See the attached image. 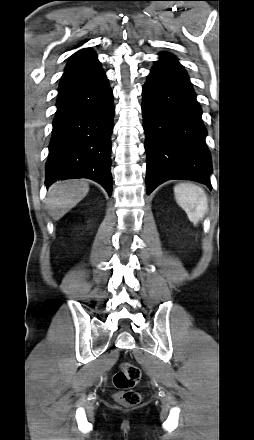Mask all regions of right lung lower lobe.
Returning a JSON list of instances; mask_svg holds the SVG:
<instances>
[{
	"instance_id": "98d812e1",
	"label": "right lung lower lobe",
	"mask_w": 254,
	"mask_h": 440,
	"mask_svg": "<svg viewBox=\"0 0 254 440\" xmlns=\"http://www.w3.org/2000/svg\"><path fill=\"white\" fill-rule=\"evenodd\" d=\"M112 98L98 60L64 73L46 162V187L59 179L89 178L111 195Z\"/></svg>"
}]
</instances>
